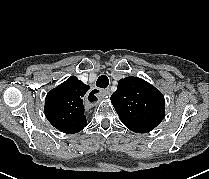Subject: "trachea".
<instances>
[{
	"mask_svg": "<svg viewBox=\"0 0 209 179\" xmlns=\"http://www.w3.org/2000/svg\"><path fill=\"white\" fill-rule=\"evenodd\" d=\"M108 84H109V79L105 75H101L96 81V85L99 88H106L108 86Z\"/></svg>",
	"mask_w": 209,
	"mask_h": 179,
	"instance_id": "1",
	"label": "trachea"
}]
</instances>
